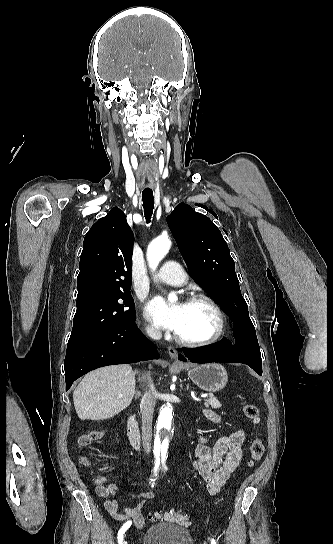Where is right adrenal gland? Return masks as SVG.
I'll use <instances>...</instances> for the list:
<instances>
[{"mask_svg":"<svg viewBox=\"0 0 333 544\" xmlns=\"http://www.w3.org/2000/svg\"><path fill=\"white\" fill-rule=\"evenodd\" d=\"M140 396H141V392L137 391V392L135 393V397H136V398H139Z\"/></svg>","mask_w":333,"mask_h":544,"instance_id":"1","label":"right adrenal gland"}]
</instances>
